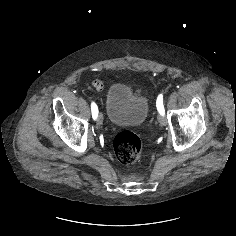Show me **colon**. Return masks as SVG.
<instances>
[{"instance_id": "1", "label": "colon", "mask_w": 236, "mask_h": 236, "mask_svg": "<svg viewBox=\"0 0 236 236\" xmlns=\"http://www.w3.org/2000/svg\"><path fill=\"white\" fill-rule=\"evenodd\" d=\"M116 158L123 164L135 163L141 154L142 144L140 138L132 131L118 133L113 142Z\"/></svg>"}]
</instances>
